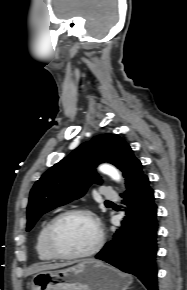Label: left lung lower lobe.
Instances as JSON below:
<instances>
[{"mask_svg": "<svg viewBox=\"0 0 187 290\" xmlns=\"http://www.w3.org/2000/svg\"><path fill=\"white\" fill-rule=\"evenodd\" d=\"M123 197L128 206L123 224L130 228L117 230L96 258L137 276L148 290H158L157 205L148 177L144 174L139 177Z\"/></svg>", "mask_w": 187, "mask_h": 290, "instance_id": "1", "label": "left lung lower lobe"}]
</instances>
